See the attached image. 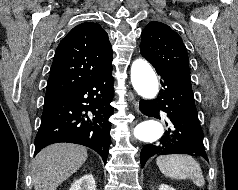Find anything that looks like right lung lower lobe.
Instances as JSON below:
<instances>
[{
    "mask_svg": "<svg viewBox=\"0 0 238 190\" xmlns=\"http://www.w3.org/2000/svg\"><path fill=\"white\" fill-rule=\"evenodd\" d=\"M111 72L112 69L44 103L35 155L49 144L69 142L97 151L106 162L110 145L108 119L113 114Z\"/></svg>",
    "mask_w": 238,
    "mask_h": 190,
    "instance_id": "right-lung-lower-lobe-1",
    "label": "right lung lower lobe"
}]
</instances>
